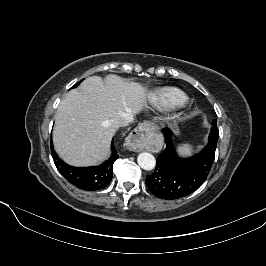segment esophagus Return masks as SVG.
<instances>
[{"label": "esophagus", "mask_w": 266, "mask_h": 266, "mask_svg": "<svg viewBox=\"0 0 266 266\" xmlns=\"http://www.w3.org/2000/svg\"><path fill=\"white\" fill-rule=\"evenodd\" d=\"M150 130L148 123L138 125L126 138V146L130 151L140 152L145 147L146 132Z\"/></svg>", "instance_id": "34e87169"}]
</instances>
